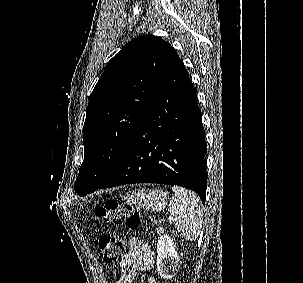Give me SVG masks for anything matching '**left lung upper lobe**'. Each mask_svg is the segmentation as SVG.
I'll return each mask as SVG.
<instances>
[{
    "label": "left lung upper lobe",
    "instance_id": "1",
    "mask_svg": "<svg viewBox=\"0 0 303 283\" xmlns=\"http://www.w3.org/2000/svg\"><path fill=\"white\" fill-rule=\"evenodd\" d=\"M177 57L162 38L143 35L108 62L89 98L77 194L97 189L114 174Z\"/></svg>",
    "mask_w": 303,
    "mask_h": 283
}]
</instances>
